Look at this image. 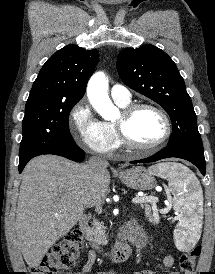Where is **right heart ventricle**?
I'll return each mask as SVG.
<instances>
[{
  "mask_svg": "<svg viewBox=\"0 0 215 274\" xmlns=\"http://www.w3.org/2000/svg\"><path fill=\"white\" fill-rule=\"evenodd\" d=\"M116 104L118 106H120L121 108H125L126 106L129 105L128 103H121V102H117L115 101ZM104 129L114 138L115 141V148L118 147L120 145V141L115 129V124L113 122H102Z\"/></svg>",
  "mask_w": 215,
  "mask_h": 274,
  "instance_id": "right-heart-ventricle-1",
  "label": "right heart ventricle"
}]
</instances>
